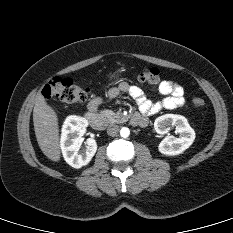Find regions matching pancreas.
<instances>
[{"mask_svg":"<svg viewBox=\"0 0 233 233\" xmlns=\"http://www.w3.org/2000/svg\"><path fill=\"white\" fill-rule=\"evenodd\" d=\"M101 115L107 119H109L111 122H116V123H120L123 122L125 119H123L122 115H120L119 113H115L112 110H103L100 112Z\"/></svg>","mask_w":233,"mask_h":233,"instance_id":"cf45deb5","label":"pancreas"}]
</instances>
